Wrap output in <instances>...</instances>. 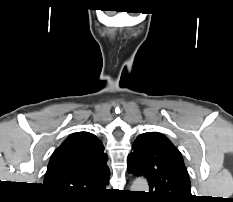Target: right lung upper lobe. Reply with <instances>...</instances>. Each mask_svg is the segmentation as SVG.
<instances>
[{"label": "right lung upper lobe", "instance_id": "obj_1", "mask_svg": "<svg viewBox=\"0 0 233 202\" xmlns=\"http://www.w3.org/2000/svg\"><path fill=\"white\" fill-rule=\"evenodd\" d=\"M107 159L104 146L95 135L74 133L53 152L44 185L59 196L95 195L108 183Z\"/></svg>", "mask_w": 233, "mask_h": 202}]
</instances>
